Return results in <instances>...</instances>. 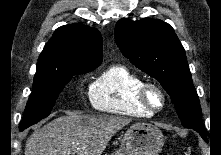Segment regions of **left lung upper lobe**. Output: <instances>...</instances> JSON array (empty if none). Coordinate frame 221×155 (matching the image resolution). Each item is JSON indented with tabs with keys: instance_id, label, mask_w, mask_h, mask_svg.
<instances>
[{
	"instance_id": "obj_1",
	"label": "left lung upper lobe",
	"mask_w": 221,
	"mask_h": 155,
	"mask_svg": "<svg viewBox=\"0 0 221 155\" xmlns=\"http://www.w3.org/2000/svg\"><path fill=\"white\" fill-rule=\"evenodd\" d=\"M115 40L125 57L160 82L171 96L182 125L203 129L185 50L172 26L159 19H122L115 27Z\"/></svg>"
}]
</instances>
